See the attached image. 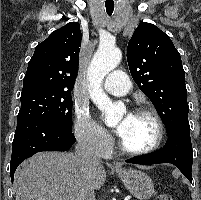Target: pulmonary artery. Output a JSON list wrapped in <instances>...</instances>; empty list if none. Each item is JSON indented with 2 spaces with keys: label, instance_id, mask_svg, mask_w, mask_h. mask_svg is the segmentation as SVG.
I'll list each match as a JSON object with an SVG mask.
<instances>
[{
  "label": "pulmonary artery",
  "instance_id": "pulmonary-artery-1",
  "mask_svg": "<svg viewBox=\"0 0 201 200\" xmlns=\"http://www.w3.org/2000/svg\"><path fill=\"white\" fill-rule=\"evenodd\" d=\"M104 88L116 96H124L131 89V82L122 71H113L107 75L104 81Z\"/></svg>",
  "mask_w": 201,
  "mask_h": 200
}]
</instances>
